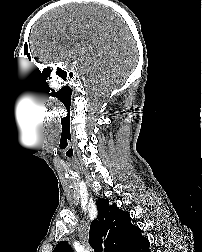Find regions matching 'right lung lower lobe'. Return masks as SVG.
Returning <instances> with one entry per match:
<instances>
[{"label": "right lung lower lobe", "mask_w": 202, "mask_h": 252, "mask_svg": "<svg viewBox=\"0 0 202 252\" xmlns=\"http://www.w3.org/2000/svg\"><path fill=\"white\" fill-rule=\"evenodd\" d=\"M149 245H150V243L147 242L139 250H136V252H150Z\"/></svg>", "instance_id": "right-lung-lower-lobe-1"}]
</instances>
